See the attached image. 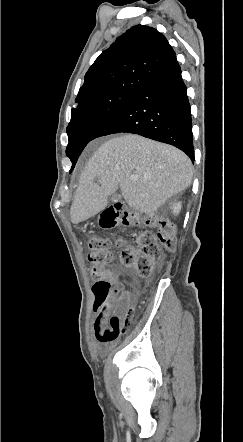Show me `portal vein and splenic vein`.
<instances>
[{
    "label": "portal vein and splenic vein",
    "mask_w": 243,
    "mask_h": 442,
    "mask_svg": "<svg viewBox=\"0 0 243 442\" xmlns=\"http://www.w3.org/2000/svg\"><path fill=\"white\" fill-rule=\"evenodd\" d=\"M131 179H132V180H136V179H138V176H137V175H132V176H131Z\"/></svg>",
    "instance_id": "portal-vein-and-splenic-vein-1"
}]
</instances>
